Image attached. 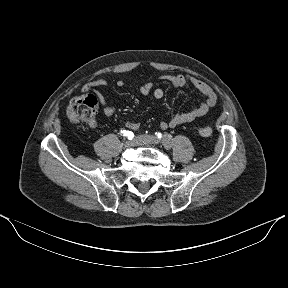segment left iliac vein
I'll return each instance as SVG.
<instances>
[{
	"label": "left iliac vein",
	"mask_w": 288,
	"mask_h": 288,
	"mask_svg": "<svg viewBox=\"0 0 288 288\" xmlns=\"http://www.w3.org/2000/svg\"><path fill=\"white\" fill-rule=\"evenodd\" d=\"M141 141L146 144H158L161 142L166 149H169L171 147L169 140L163 139L162 141H160L159 139H157L156 137L152 135L142 136Z\"/></svg>",
	"instance_id": "4c4485c4"
}]
</instances>
